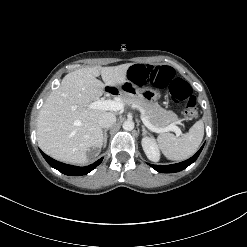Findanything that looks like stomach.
Here are the masks:
<instances>
[{"instance_id": "stomach-1", "label": "stomach", "mask_w": 247, "mask_h": 247, "mask_svg": "<svg viewBox=\"0 0 247 247\" xmlns=\"http://www.w3.org/2000/svg\"><path fill=\"white\" fill-rule=\"evenodd\" d=\"M120 94L129 97L141 98L148 103H156L160 98L159 91L151 88H138L131 81H126L121 85Z\"/></svg>"}]
</instances>
